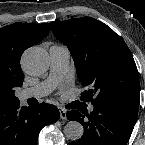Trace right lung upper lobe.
Instances as JSON below:
<instances>
[{
    "instance_id": "cb5924a9",
    "label": "right lung upper lobe",
    "mask_w": 145,
    "mask_h": 145,
    "mask_svg": "<svg viewBox=\"0 0 145 145\" xmlns=\"http://www.w3.org/2000/svg\"><path fill=\"white\" fill-rule=\"evenodd\" d=\"M49 32L48 23H14L0 29V107L19 101L14 92L24 80L21 55Z\"/></svg>"
}]
</instances>
